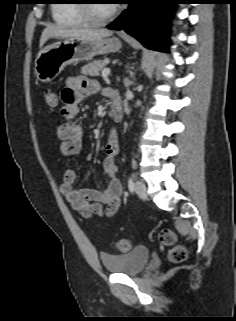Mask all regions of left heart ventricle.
<instances>
[{"label":"left heart ventricle","instance_id":"b2bd125f","mask_svg":"<svg viewBox=\"0 0 236 321\" xmlns=\"http://www.w3.org/2000/svg\"><path fill=\"white\" fill-rule=\"evenodd\" d=\"M113 7L114 5L110 4L108 0H95L92 4L93 13L97 17L106 16L112 10Z\"/></svg>","mask_w":236,"mask_h":321}]
</instances>
